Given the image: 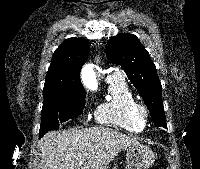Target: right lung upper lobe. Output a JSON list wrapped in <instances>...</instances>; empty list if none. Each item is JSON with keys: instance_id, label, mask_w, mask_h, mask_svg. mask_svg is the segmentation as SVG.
<instances>
[{"instance_id": "cb5924a9", "label": "right lung upper lobe", "mask_w": 200, "mask_h": 169, "mask_svg": "<svg viewBox=\"0 0 200 169\" xmlns=\"http://www.w3.org/2000/svg\"><path fill=\"white\" fill-rule=\"evenodd\" d=\"M89 48L86 39L69 38L55 50L44 84V98L85 92L80 82V69Z\"/></svg>"}]
</instances>
